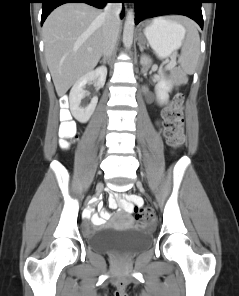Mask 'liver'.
<instances>
[{"mask_svg": "<svg viewBox=\"0 0 239 296\" xmlns=\"http://www.w3.org/2000/svg\"><path fill=\"white\" fill-rule=\"evenodd\" d=\"M102 14L85 3H67L47 17L42 29L45 57L58 96L99 62L104 40Z\"/></svg>", "mask_w": 239, "mask_h": 296, "instance_id": "6515ba94", "label": "liver"}]
</instances>
